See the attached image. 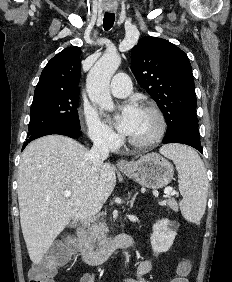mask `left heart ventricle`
I'll use <instances>...</instances> for the list:
<instances>
[{
    "mask_svg": "<svg viewBox=\"0 0 232 282\" xmlns=\"http://www.w3.org/2000/svg\"><path fill=\"white\" fill-rule=\"evenodd\" d=\"M157 129V120L149 112L142 109L141 116L137 126L129 136L134 140H146L154 135Z\"/></svg>",
    "mask_w": 232,
    "mask_h": 282,
    "instance_id": "b2bd125f",
    "label": "left heart ventricle"
}]
</instances>
